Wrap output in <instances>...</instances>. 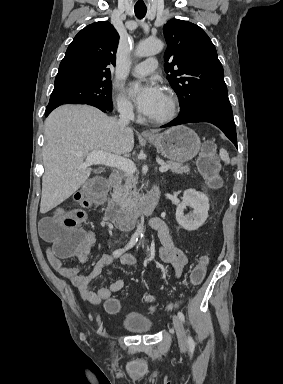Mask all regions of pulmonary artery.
Wrapping results in <instances>:
<instances>
[{
  "mask_svg": "<svg viewBox=\"0 0 283 384\" xmlns=\"http://www.w3.org/2000/svg\"><path fill=\"white\" fill-rule=\"evenodd\" d=\"M156 70V62L148 61L147 64L140 62L134 65L132 68V75L136 77L149 75L151 72Z\"/></svg>",
  "mask_w": 283,
  "mask_h": 384,
  "instance_id": "e3ab8cb5",
  "label": "pulmonary artery"
}]
</instances>
